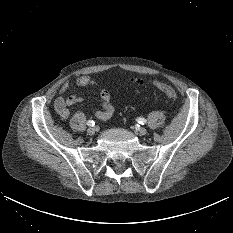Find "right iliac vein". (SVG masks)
<instances>
[{"label":"right iliac vein","instance_id":"63e3f726","mask_svg":"<svg viewBox=\"0 0 233 233\" xmlns=\"http://www.w3.org/2000/svg\"><path fill=\"white\" fill-rule=\"evenodd\" d=\"M97 132V128L96 127H90L87 129V133L89 135H94Z\"/></svg>","mask_w":233,"mask_h":233}]
</instances>
